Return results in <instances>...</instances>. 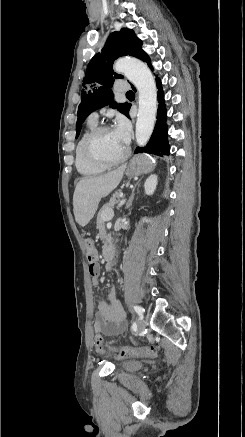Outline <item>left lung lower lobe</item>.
<instances>
[{
  "instance_id": "1",
  "label": "left lung lower lobe",
  "mask_w": 245,
  "mask_h": 437,
  "mask_svg": "<svg viewBox=\"0 0 245 437\" xmlns=\"http://www.w3.org/2000/svg\"><path fill=\"white\" fill-rule=\"evenodd\" d=\"M142 61H145L148 63L149 67L152 68L151 60L149 56L144 53L141 58ZM157 87H158V112H157V122L154 128V131L152 133V136L144 147H137L134 151L135 154L137 153H149V154H155L158 156L163 155H169V144L167 139V125H166V108L164 103V97H163V91L161 88V82L160 79L156 78ZM131 107V106H130ZM130 109V108H129ZM127 117H129V111L126 114Z\"/></svg>"
}]
</instances>
